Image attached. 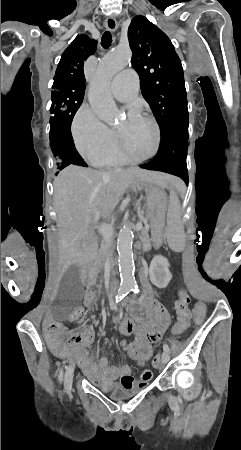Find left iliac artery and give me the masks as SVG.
<instances>
[{
  "instance_id": "obj_1",
  "label": "left iliac artery",
  "mask_w": 241,
  "mask_h": 450,
  "mask_svg": "<svg viewBox=\"0 0 241 450\" xmlns=\"http://www.w3.org/2000/svg\"><path fill=\"white\" fill-rule=\"evenodd\" d=\"M132 291L134 292V293H138L139 292V289H138V286H133L132 287ZM163 349H164V351H166V352H170V348H169V346L167 345V344H164L163 345Z\"/></svg>"
}]
</instances>
